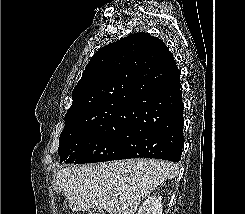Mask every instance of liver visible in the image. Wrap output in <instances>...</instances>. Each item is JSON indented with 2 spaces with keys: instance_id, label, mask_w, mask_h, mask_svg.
<instances>
[{
  "instance_id": "6515ba94",
  "label": "liver",
  "mask_w": 245,
  "mask_h": 214,
  "mask_svg": "<svg viewBox=\"0 0 245 214\" xmlns=\"http://www.w3.org/2000/svg\"><path fill=\"white\" fill-rule=\"evenodd\" d=\"M177 166L167 161L132 159L69 166L56 174V193L72 211L103 209L109 214H135L140 201L167 179Z\"/></svg>"
}]
</instances>
